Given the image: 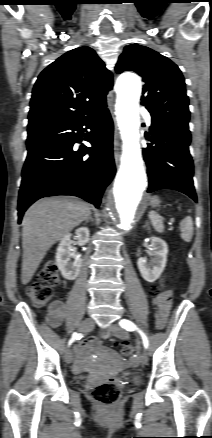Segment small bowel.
<instances>
[{
    "mask_svg": "<svg viewBox=\"0 0 212 438\" xmlns=\"http://www.w3.org/2000/svg\"><path fill=\"white\" fill-rule=\"evenodd\" d=\"M172 291H164L157 298H153L155 309L156 326L163 328L167 322L172 307ZM65 316V305L61 301H54L48 308L47 322L56 328L61 325ZM98 344L83 343L78 347V357L73 367L75 373H81L87 368V351L90 347H98Z\"/></svg>",
    "mask_w": 212,
    "mask_h": 438,
    "instance_id": "small-bowel-1",
    "label": "small bowel"
}]
</instances>
